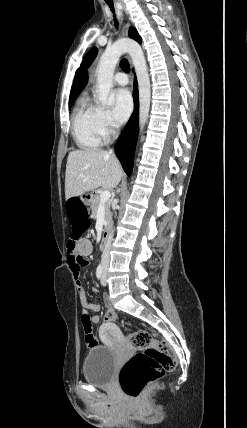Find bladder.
<instances>
[{"label":"bladder","instance_id":"obj_1","mask_svg":"<svg viewBox=\"0 0 247 428\" xmlns=\"http://www.w3.org/2000/svg\"><path fill=\"white\" fill-rule=\"evenodd\" d=\"M118 367V356L107 346L92 347L83 364L84 379L94 386H109Z\"/></svg>","mask_w":247,"mask_h":428}]
</instances>
